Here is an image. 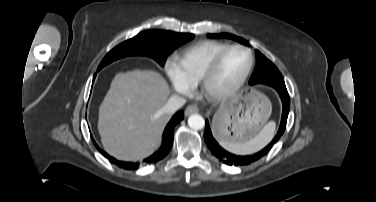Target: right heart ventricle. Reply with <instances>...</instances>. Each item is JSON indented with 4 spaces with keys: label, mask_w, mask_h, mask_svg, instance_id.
<instances>
[{
    "label": "right heart ventricle",
    "mask_w": 376,
    "mask_h": 202,
    "mask_svg": "<svg viewBox=\"0 0 376 202\" xmlns=\"http://www.w3.org/2000/svg\"><path fill=\"white\" fill-rule=\"evenodd\" d=\"M228 46L230 45L225 42L206 40L179 52L174 62L181 78L190 87L196 86L208 65Z\"/></svg>",
    "instance_id": "e07e8e85"
}]
</instances>
